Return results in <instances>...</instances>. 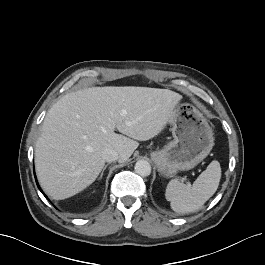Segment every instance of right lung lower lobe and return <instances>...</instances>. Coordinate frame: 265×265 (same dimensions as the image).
I'll return each instance as SVG.
<instances>
[{
  "label": "right lung lower lobe",
  "mask_w": 265,
  "mask_h": 265,
  "mask_svg": "<svg viewBox=\"0 0 265 265\" xmlns=\"http://www.w3.org/2000/svg\"><path fill=\"white\" fill-rule=\"evenodd\" d=\"M36 183H37V181H36ZM37 186H38V188L40 189V187H39V185H38V183H37ZM40 191L42 192V190L40 189ZM43 193V192H42ZM44 194V193H43ZM46 197V196H45ZM47 198V197H46Z\"/></svg>",
  "instance_id": "1"
}]
</instances>
